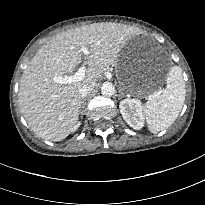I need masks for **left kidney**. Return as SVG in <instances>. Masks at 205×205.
I'll return each mask as SVG.
<instances>
[{
    "label": "left kidney",
    "mask_w": 205,
    "mask_h": 205,
    "mask_svg": "<svg viewBox=\"0 0 205 205\" xmlns=\"http://www.w3.org/2000/svg\"><path fill=\"white\" fill-rule=\"evenodd\" d=\"M120 113L125 122L135 130L144 126V115L141 101L138 99L127 98L119 104Z\"/></svg>",
    "instance_id": "1"
}]
</instances>
